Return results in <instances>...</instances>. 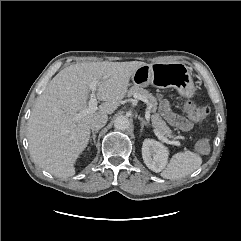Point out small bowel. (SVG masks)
Here are the masks:
<instances>
[{
    "label": "small bowel",
    "mask_w": 241,
    "mask_h": 241,
    "mask_svg": "<svg viewBox=\"0 0 241 241\" xmlns=\"http://www.w3.org/2000/svg\"><path fill=\"white\" fill-rule=\"evenodd\" d=\"M159 111L168 123L177 127L178 129L188 131L192 128L191 122L174 113L170 103L162 97L159 98Z\"/></svg>",
    "instance_id": "c3829d8e"
}]
</instances>
